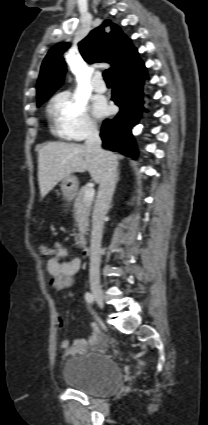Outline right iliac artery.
<instances>
[{"label":"right iliac artery","mask_w":208,"mask_h":425,"mask_svg":"<svg viewBox=\"0 0 208 425\" xmlns=\"http://www.w3.org/2000/svg\"><path fill=\"white\" fill-rule=\"evenodd\" d=\"M85 299L89 304H92L94 302V296L90 292H87L85 294Z\"/></svg>","instance_id":"82829eb1"}]
</instances>
